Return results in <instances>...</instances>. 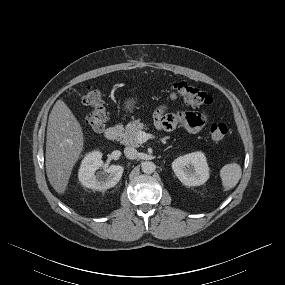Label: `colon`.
I'll use <instances>...</instances> for the list:
<instances>
[{"label":"colon","instance_id":"1","mask_svg":"<svg viewBox=\"0 0 285 285\" xmlns=\"http://www.w3.org/2000/svg\"><path fill=\"white\" fill-rule=\"evenodd\" d=\"M171 95L180 99L192 107L210 105L212 96L199 88L188 85L185 82H175L171 85ZM82 104L90 108V113L85 117L84 124L89 131H103L108 119L107 109L101 92L93 87H87L79 97ZM229 128L224 123H215L210 127V138L212 142L221 143L228 135Z\"/></svg>","mask_w":285,"mask_h":285}]
</instances>
